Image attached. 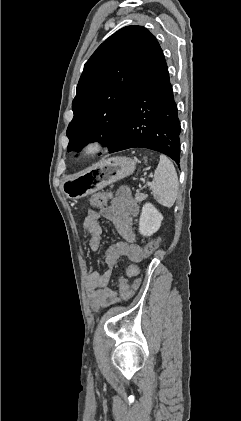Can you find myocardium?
Wrapping results in <instances>:
<instances>
[{"label": "myocardium", "instance_id": "myocardium-1", "mask_svg": "<svg viewBox=\"0 0 241 421\" xmlns=\"http://www.w3.org/2000/svg\"><path fill=\"white\" fill-rule=\"evenodd\" d=\"M105 143L100 137H90L82 145L81 151L85 156L92 157L103 151Z\"/></svg>", "mask_w": 241, "mask_h": 421}]
</instances>
